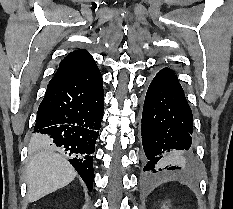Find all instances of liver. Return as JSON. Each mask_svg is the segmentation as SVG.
<instances>
[{
	"instance_id": "6515ba94",
	"label": "liver",
	"mask_w": 233,
	"mask_h": 209,
	"mask_svg": "<svg viewBox=\"0 0 233 209\" xmlns=\"http://www.w3.org/2000/svg\"><path fill=\"white\" fill-rule=\"evenodd\" d=\"M37 138L42 137L37 135ZM76 174L74 168L61 155L47 148L38 151L30 158L26 169L28 201L35 202L67 186Z\"/></svg>"
}]
</instances>
